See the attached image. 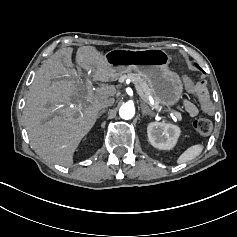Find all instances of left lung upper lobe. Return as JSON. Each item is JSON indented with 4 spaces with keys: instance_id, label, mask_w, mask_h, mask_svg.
Masks as SVG:
<instances>
[{
    "instance_id": "left-lung-upper-lobe-1",
    "label": "left lung upper lobe",
    "mask_w": 237,
    "mask_h": 237,
    "mask_svg": "<svg viewBox=\"0 0 237 237\" xmlns=\"http://www.w3.org/2000/svg\"><path fill=\"white\" fill-rule=\"evenodd\" d=\"M196 66L200 69V70H202L197 64H196ZM203 71V70H202Z\"/></svg>"
}]
</instances>
